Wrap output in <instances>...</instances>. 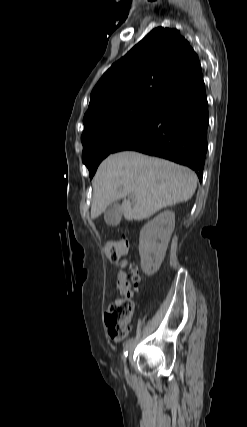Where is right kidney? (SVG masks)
<instances>
[{
	"label": "right kidney",
	"mask_w": 247,
	"mask_h": 427,
	"mask_svg": "<svg viewBox=\"0 0 247 427\" xmlns=\"http://www.w3.org/2000/svg\"><path fill=\"white\" fill-rule=\"evenodd\" d=\"M175 227V213L166 210L143 226L139 237L142 271L155 274L164 260L171 234Z\"/></svg>",
	"instance_id": "right-kidney-1"
}]
</instances>
